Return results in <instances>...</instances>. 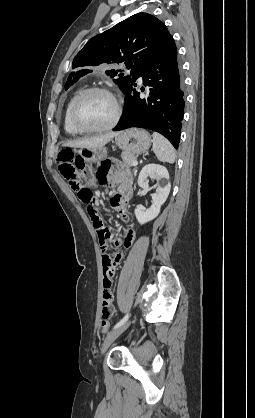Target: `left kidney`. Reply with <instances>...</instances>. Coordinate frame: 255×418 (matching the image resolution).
Listing matches in <instances>:
<instances>
[{
    "instance_id": "left-kidney-1",
    "label": "left kidney",
    "mask_w": 255,
    "mask_h": 418,
    "mask_svg": "<svg viewBox=\"0 0 255 418\" xmlns=\"http://www.w3.org/2000/svg\"><path fill=\"white\" fill-rule=\"evenodd\" d=\"M148 178L155 179L157 181L156 192L153 193V204L146 211L135 209L134 213L137 221L142 225L158 216L161 206L166 201L170 192L169 173L167 169L158 164L145 165L139 173L138 185L141 188H148Z\"/></svg>"
}]
</instances>
